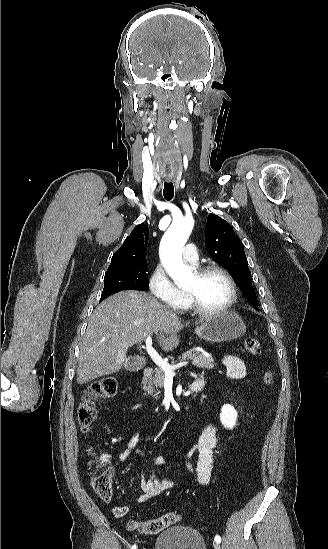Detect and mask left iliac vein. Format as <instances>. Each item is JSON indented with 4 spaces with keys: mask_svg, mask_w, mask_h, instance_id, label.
<instances>
[{
    "mask_svg": "<svg viewBox=\"0 0 328 549\" xmlns=\"http://www.w3.org/2000/svg\"><path fill=\"white\" fill-rule=\"evenodd\" d=\"M213 547H214V549H221L220 544L218 542H214Z\"/></svg>",
    "mask_w": 328,
    "mask_h": 549,
    "instance_id": "4c4485c4",
    "label": "left iliac vein"
}]
</instances>
